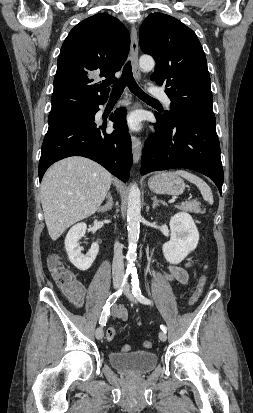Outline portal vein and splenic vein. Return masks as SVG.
Wrapping results in <instances>:
<instances>
[{
    "mask_svg": "<svg viewBox=\"0 0 253 413\" xmlns=\"http://www.w3.org/2000/svg\"><path fill=\"white\" fill-rule=\"evenodd\" d=\"M175 201V199H172L170 202H174Z\"/></svg>",
    "mask_w": 253,
    "mask_h": 413,
    "instance_id": "18ae733b",
    "label": "portal vein and splenic vein"
}]
</instances>
